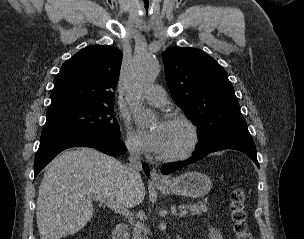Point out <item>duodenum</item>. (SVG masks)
Masks as SVG:
<instances>
[{"label":"duodenum","mask_w":304,"mask_h":239,"mask_svg":"<svg viewBox=\"0 0 304 239\" xmlns=\"http://www.w3.org/2000/svg\"><path fill=\"white\" fill-rule=\"evenodd\" d=\"M113 239H129L128 226L125 223H119L115 227Z\"/></svg>","instance_id":"duodenum-1"}]
</instances>
